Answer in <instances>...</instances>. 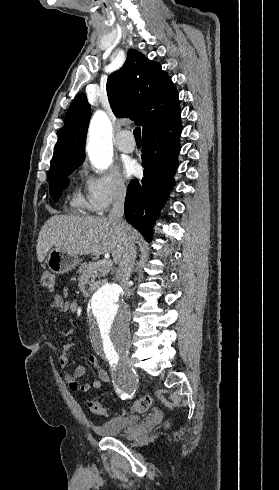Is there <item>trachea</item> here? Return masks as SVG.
I'll list each match as a JSON object with an SVG mask.
<instances>
[{"label":"trachea","mask_w":279,"mask_h":490,"mask_svg":"<svg viewBox=\"0 0 279 490\" xmlns=\"http://www.w3.org/2000/svg\"><path fill=\"white\" fill-rule=\"evenodd\" d=\"M134 137L136 141H141V129L140 127H136L133 131Z\"/></svg>","instance_id":"1"}]
</instances>
